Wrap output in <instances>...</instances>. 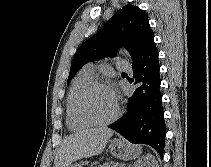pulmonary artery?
<instances>
[{
    "mask_svg": "<svg viewBox=\"0 0 211 167\" xmlns=\"http://www.w3.org/2000/svg\"><path fill=\"white\" fill-rule=\"evenodd\" d=\"M116 66L119 69H122V70H129V68H130L129 62L127 60H125V59H118L117 62H116ZM85 69L93 74V72H94V64H92V63L87 64L85 66Z\"/></svg>",
    "mask_w": 211,
    "mask_h": 167,
    "instance_id": "e3ab8cb5",
    "label": "pulmonary artery"
}]
</instances>
